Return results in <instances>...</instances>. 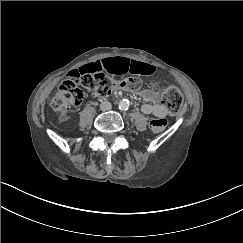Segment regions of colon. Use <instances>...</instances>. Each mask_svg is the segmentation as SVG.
Masks as SVG:
<instances>
[{"mask_svg": "<svg viewBox=\"0 0 243 243\" xmlns=\"http://www.w3.org/2000/svg\"><path fill=\"white\" fill-rule=\"evenodd\" d=\"M142 86V81L136 77L113 80L101 72H79L74 70L60 84L52 98L51 107L54 112L71 110L78 107L87 95L105 97L119 89L137 92L141 90ZM150 87L154 89L156 84L151 83ZM161 103L170 114H177L183 105L182 94L176 87L169 86L162 92ZM167 125V120L163 118L154 119L150 122L152 130L157 133L164 131Z\"/></svg>", "mask_w": 243, "mask_h": 243, "instance_id": "5ec220e1", "label": "colon"}]
</instances>
